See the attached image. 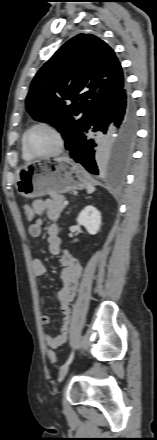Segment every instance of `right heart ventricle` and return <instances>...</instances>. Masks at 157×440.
I'll list each match as a JSON object with an SVG mask.
<instances>
[{"label":"right heart ventricle","instance_id":"obj_1","mask_svg":"<svg viewBox=\"0 0 157 440\" xmlns=\"http://www.w3.org/2000/svg\"><path fill=\"white\" fill-rule=\"evenodd\" d=\"M23 138H24V135H23L22 140H21V153H22V157L24 159H26V160H30L32 158V156L26 151V149L24 147V143H23Z\"/></svg>","mask_w":157,"mask_h":440}]
</instances>
